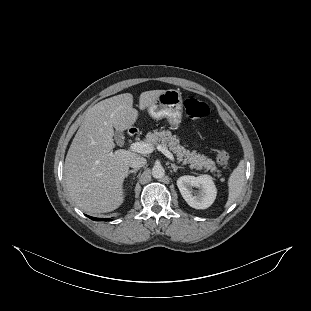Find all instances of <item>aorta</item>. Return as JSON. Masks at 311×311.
<instances>
[{"label": "aorta", "mask_w": 311, "mask_h": 311, "mask_svg": "<svg viewBox=\"0 0 311 311\" xmlns=\"http://www.w3.org/2000/svg\"><path fill=\"white\" fill-rule=\"evenodd\" d=\"M152 176L156 179H161L165 176V170L161 165H154L152 168Z\"/></svg>", "instance_id": "1"}]
</instances>
